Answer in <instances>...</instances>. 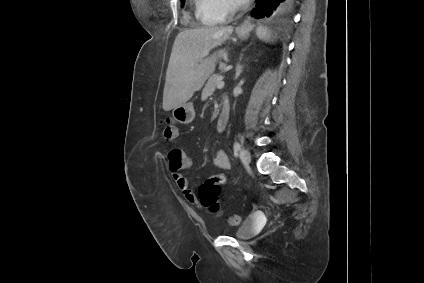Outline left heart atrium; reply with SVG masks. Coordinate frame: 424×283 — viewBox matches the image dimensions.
Wrapping results in <instances>:
<instances>
[{
	"instance_id": "1",
	"label": "left heart atrium",
	"mask_w": 424,
	"mask_h": 283,
	"mask_svg": "<svg viewBox=\"0 0 424 283\" xmlns=\"http://www.w3.org/2000/svg\"><path fill=\"white\" fill-rule=\"evenodd\" d=\"M248 0H236V2L238 3V4H244V3H246Z\"/></svg>"
}]
</instances>
